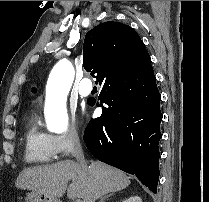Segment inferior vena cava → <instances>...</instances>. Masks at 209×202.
Returning a JSON list of instances; mask_svg holds the SVG:
<instances>
[{
  "mask_svg": "<svg viewBox=\"0 0 209 202\" xmlns=\"http://www.w3.org/2000/svg\"><path fill=\"white\" fill-rule=\"evenodd\" d=\"M73 156L78 161L79 165L82 167V169L85 171L87 169L84 154L82 151V147L79 142L76 143L73 151Z\"/></svg>",
  "mask_w": 209,
  "mask_h": 202,
  "instance_id": "1",
  "label": "inferior vena cava"
}]
</instances>
